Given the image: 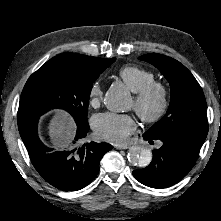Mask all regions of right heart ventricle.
I'll return each instance as SVG.
<instances>
[{"label":"right heart ventricle","instance_id":"e07e8e85","mask_svg":"<svg viewBox=\"0 0 221 221\" xmlns=\"http://www.w3.org/2000/svg\"><path fill=\"white\" fill-rule=\"evenodd\" d=\"M118 76L132 92H137L148 83L154 81V75L149 70L135 65H127L118 71Z\"/></svg>","mask_w":221,"mask_h":221}]
</instances>
